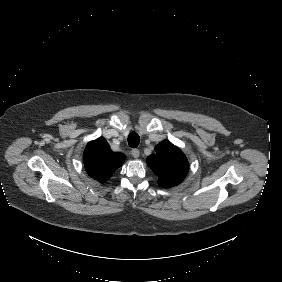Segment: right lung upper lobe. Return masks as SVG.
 <instances>
[{
  "instance_id": "obj_1",
  "label": "right lung upper lobe",
  "mask_w": 282,
  "mask_h": 282,
  "mask_svg": "<svg viewBox=\"0 0 282 282\" xmlns=\"http://www.w3.org/2000/svg\"><path fill=\"white\" fill-rule=\"evenodd\" d=\"M125 159L122 153L110 150L109 145L100 137L87 144L83 161L88 174L95 180L104 183Z\"/></svg>"
}]
</instances>
